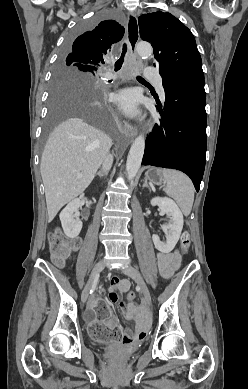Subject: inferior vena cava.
<instances>
[{"instance_id": "inferior-vena-cava-1", "label": "inferior vena cava", "mask_w": 248, "mask_h": 389, "mask_svg": "<svg viewBox=\"0 0 248 389\" xmlns=\"http://www.w3.org/2000/svg\"><path fill=\"white\" fill-rule=\"evenodd\" d=\"M113 163V156L107 155L102 162V173L107 174Z\"/></svg>"}]
</instances>
